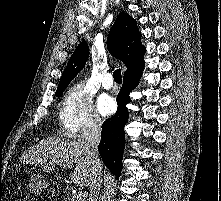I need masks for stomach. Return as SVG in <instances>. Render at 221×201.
<instances>
[{"label":"stomach","instance_id":"stomach-1","mask_svg":"<svg viewBox=\"0 0 221 201\" xmlns=\"http://www.w3.org/2000/svg\"><path fill=\"white\" fill-rule=\"evenodd\" d=\"M49 186V181L40 174H33L30 177L29 189L32 193L40 194Z\"/></svg>","mask_w":221,"mask_h":201}]
</instances>
